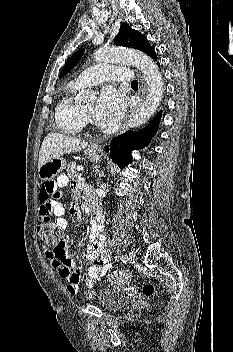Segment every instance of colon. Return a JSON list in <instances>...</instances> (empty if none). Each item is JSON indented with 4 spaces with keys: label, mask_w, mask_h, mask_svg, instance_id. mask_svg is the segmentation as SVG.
Masks as SVG:
<instances>
[{
    "label": "colon",
    "mask_w": 233,
    "mask_h": 352,
    "mask_svg": "<svg viewBox=\"0 0 233 352\" xmlns=\"http://www.w3.org/2000/svg\"><path fill=\"white\" fill-rule=\"evenodd\" d=\"M38 236L41 240L50 246L60 245L64 241V232L59 227L52 223L43 222L38 227ZM143 292L146 296H153L156 294L157 290L155 286L151 283H146L143 287ZM92 292H84L85 298H91Z\"/></svg>",
    "instance_id": "obj_1"
}]
</instances>
